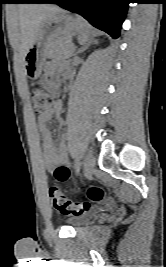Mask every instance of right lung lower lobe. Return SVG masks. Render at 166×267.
<instances>
[{
    "label": "right lung lower lobe",
    "instance_id": "1",
    "mask_svg": "<svg viewBox=\"0 0 166 267\" xmlns=\"http://www.w3.org/2000/svg\"><path fill=\"white\" fill-rule=\"evenodd\" d=\"M38 0H30V1H26V2H31V3H35L37 2Z\"/></svg>",
    "mask_w": 166,
    "mask_h": 267
}]
</instances>
